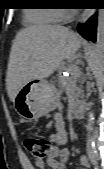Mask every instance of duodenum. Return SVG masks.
<instances>
[{
    "label": "duodenum",
    "instance_id": "1",
    "mask_svg": "<svg viewBox=\"0 0 104 169\" xmlns=\"http://www.w3.org/2000/svg\"><path fill=\"white\" fill-rule=\"evenodd\" d=\"M73 113L76 118L83 117L85 113V104L82 101L76 102L73 107Z\"/></svg>",
    "mask_w": 104,
    "mask_h": 169
}]
</instances>
